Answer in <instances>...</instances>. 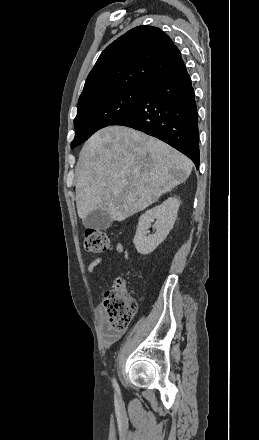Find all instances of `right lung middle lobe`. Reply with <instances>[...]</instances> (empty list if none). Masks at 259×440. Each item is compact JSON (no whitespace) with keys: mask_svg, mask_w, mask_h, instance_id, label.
I'll list each match as a JSON object with an SVG mask.
<instances>
[{"mask_svg":"<svg viewBox=\"0 0 259 440\" xmlns=\"http://www.w3.org/2000/svg\"><path fill=\"white\" fill-rule=\"evenodd\" d=\"M147 88L116 90L79 106L74 119L75 138L71 142V148L80 145L99 129L112 125L129 113L141 100Z\"/></svg>","mask_w":259,"mask_h":440,"instance_id":"1","label":"right lung middle lobe"}]
</instances>
